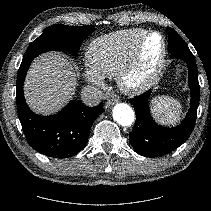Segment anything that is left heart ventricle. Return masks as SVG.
<instances>
[{
    "mask_svg": "<svg viewBox=\"0 0 211 211\" xmlns=\"http://www.w3.org/2000/svg\"><path fill=\"white\" fill-rule=\"evenodd\" d=\"M160 52L161 41L159 36H150L143 46L141 61L135 74V80L143 78L152 70L158 60Z\"/></svg>",
    "mask_w": 211,
    "mask_h": 211,
    "instance_id": "1",
    "label": "left heart ventricle"
}]
</instances>
